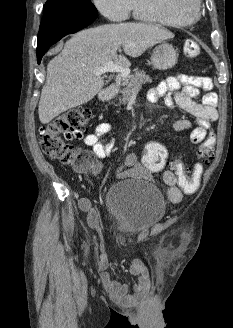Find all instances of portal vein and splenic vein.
I'll return each instance as SVG.
<instances>
[{"label":"portal vein and splenic vein","instance_id":"portal-vein-and-splenic-vein-1","mask_svg":"<svg viewBox=\"0 0 233 328\" xmlns=\"http://www.w3.org/2000/svg\"><path fill=\"white\" fill-rule=\"evenodd\" d=\"M106 72L118 73L121 75V77L126 79L130 73V70L126 67L114 64L113 61H109L105 65L94 70L96 75H102Z\"/></svg>","mask_w":233,"mask_h":328}]
</instances>
